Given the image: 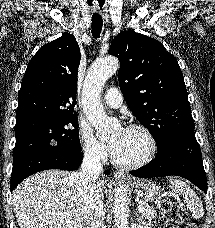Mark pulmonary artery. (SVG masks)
Instances as JSON below:
<instances>
[{"label": "pulmonary artery", "mask_w": 215, "mask_h": 228, "mask_svg": "<svg viewBox=\"0 0 215 228\" xmlns=\"http://www.w3.org/2000/svg\"><path fill=\"white\" fill-rule=\"evenodd\" d=\"M104 102L112 108H117L123 103V97L119 90L111 88L104 94Z\"/></svg>", "instance_id": "pulmonary-artery-1"}]
</instances>
